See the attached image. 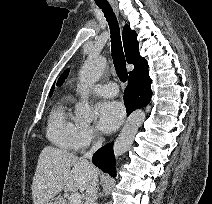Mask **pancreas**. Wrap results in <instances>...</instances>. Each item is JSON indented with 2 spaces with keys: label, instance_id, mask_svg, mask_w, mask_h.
Masks as SVG:
<instances>
[{
  "label": "pancreas",
  "instance_id": "1",
  "mask_svg": "<svg viewBox=\"0 0 212 204\" xmlns=\"http://www.w3.org/2000/svg\"><path fill=\"white\" fill-rule=\"evenodd\" d=\"M63 204H71L70 202L66 203V202H63Z\"/></svg>",
  "mask_w": 212,
  "mask_h": 204
}]
</instances>
